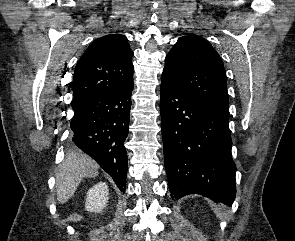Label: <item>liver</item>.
Segmentation results:
<instances>
[{
	"instance_id": "obj_1",
	"label": "liver",
	"mask_w": 295,
	"mask_h": 241,
	"mask_svg": "<svg viewBox=\"0 0 295 241\" xmlns=\"http://www.w3.org/2000/svg\"><path fill=\"white\" fill-rule=\"evenodd\" d=\"M99 165L82 152L69 153L56 174V194L59 203H66L85 177L98 174Z\"/></svg>"
}]
</instances>
